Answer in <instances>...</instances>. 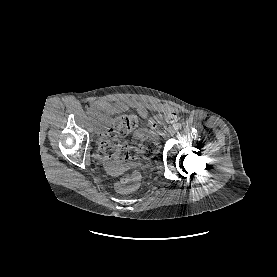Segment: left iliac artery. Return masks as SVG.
I'll use <instances>...</instances> for the list:
<instances>
[{
  "instance_id": "1",
  "label": "left iliac artery",
  "mask_w": 277,
  "mask_h": 277,
  "mask_svg": "<svg viewBox=\"0 0 277 277\" xmlns=\"http://www.w3.org/2000/svg\"><path fill=\"white\" fill-rule=\"evenodd\" d=\"M175 127L177 129H180L182 127V123H180V122L175 123Z\"/></svg>"
}]
</instances>
